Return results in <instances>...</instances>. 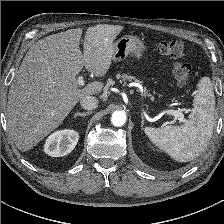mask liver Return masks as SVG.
<instances>
[{
	"mask_svg": "<svg viewBox=\"0 0 224 224\" xmlns=\"http://www.w3.org/2000/svg\"><path fill=\"white\" fill-rule=\"evenodd\" d=\"M120 25L87 28L83 53L82 28L70 29L38 40L26 53L11 83L6 109L8 131L17 148L26 152L58 128L85 96L98 95L101 82L77 84L85 69L96 77L107 74L115 52Z\"/></svg>",
	"mask_w": 224,
	"mask_h": 224,
	"instance_id": "1",
	"label": "liver"
}]
</instances>
